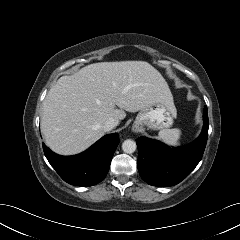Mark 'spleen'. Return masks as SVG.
Here are the masks:
<instances>
[{
  "mask_svg": "<svg viewBox=\"0 0 240 240\" xmlns=\"http://www.w3.org/2000/svg\"><path fill=\"white\" fill-rule=\"evenodd\" d=\"M181 135V130L178 128H174L161 130L158 134V137L168 145L177 146L180 143Z\"/></svg>",
  "mask_w": 240,
  "mask_h": 240,
  "instance_id": "1",
  "label": "spleen"
}]
</instances>
